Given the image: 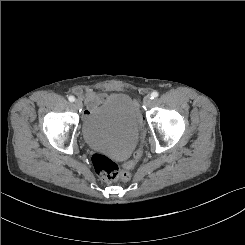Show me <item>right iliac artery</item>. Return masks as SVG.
Wrapping results in <instances>:
<instances>
[{
  "label": "right iliac artery",
  "mask_w": 245,
  "mask_h": 245,
  "mask_svg": "<svg viewBox=\"0 0 245 245\" xmlns=\"http://www.w3.org/2000/svg\"><path fill=\"white\" fill-rule=\"evenodd\" d=\"M68 99H69V101H70V102H74V101H75L74 96H69V98H68Z\"/></svg>",
  "instance_id": "obj_1"
}]
</instances>
